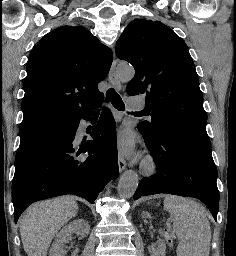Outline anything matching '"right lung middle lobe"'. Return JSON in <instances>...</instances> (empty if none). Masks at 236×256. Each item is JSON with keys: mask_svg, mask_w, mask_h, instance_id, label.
Listing matches in <instances>:
<instances>
[{"mask_svg": "<svg viewBox=\"0 0 236 256\" xmlns=\"http://www.w3.org/2000/svg\"><path fill=\"white\" fill-rule=\"evenodd\" d=\"M74 119H65L46 114L23 120L20 126V145L28 143L52 130L71 124Z\"/></svg>", "mask_w": 236, "mask_h": 256, "instance_id": "1", "label": "right lung middle lobe"}]
</instances>
